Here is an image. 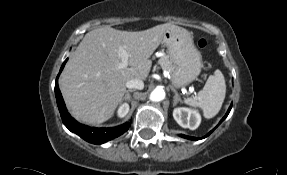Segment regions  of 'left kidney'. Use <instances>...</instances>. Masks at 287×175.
<instances>
[{"instance_id": "left-kidney-1", "label": "left kidney", "mask_w": 287, "mask_h": 175, "mask_svg": "<svg viewBox=\"0 0 287 175\" xmlns=\"http://www.w3.org/2000/svg\"><path fill=\"white\" fill-rule=\"evenodd\" d=\"M173 117L176 122L183 128L195 130L201 122V116L198 111L186 107L175 108Z\"/></svg>"}]
</instances>
